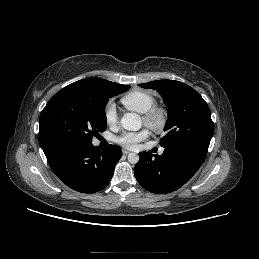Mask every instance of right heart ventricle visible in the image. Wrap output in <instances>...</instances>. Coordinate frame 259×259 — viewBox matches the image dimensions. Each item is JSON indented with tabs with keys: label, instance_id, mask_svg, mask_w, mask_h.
<instances>
[{
	"label": "right heart ventricle",
	"instance_id": "obj_1",
	"mask_svg": "<svg viewBox=\"0 0 259 259\" xmlns=\"http://www.w3.org/2000/svg\"><path fill=\"white\" fill-rule=\"evenodd\" d=\"M121 102L127 109L143 114L155 105V98L148 92L136 90L123 96Z\"/></svg>",
	"mask_w": 259,
	"mask_h": 259
}]
</instances>
